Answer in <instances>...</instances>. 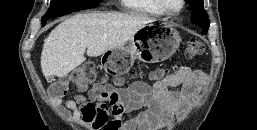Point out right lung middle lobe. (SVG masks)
<instances>
[{"label":"right lung middle lobe","instance_id":"1","mask_svg":"<svg viewBox=\"0 0 257 130\" xmlns=\"http://www.w3.org/2000/svg\"><path fill=\"white\" fill-rule=\"evenodd\" d=\"M101 0H51L50 8L42 17V24L52 17L61 16L73 11L97 7Z\"/></svg>","mask_w":257,"mask_h":130}]
</instances>
